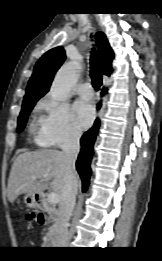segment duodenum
<instances>
[{
    "label": "duodenum",
    "mask_w": 162,
    "mask_h": 261,
    "mask_svg": "<svg viewBox=\"0 0 162 261\" xmlns=\"http://www.w3.org/2000/svg\"><path fill=\"white\" fill-rule=\"evenodd\" d=\"M35 205L38 209H43L45 204V197L42 194H36L34 197ZM43 221L41 224H43L46 220V216L42 214Z\"/></svg>",
    "instance_id": "obj_1"
}]
</instances>
